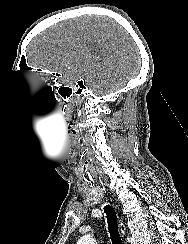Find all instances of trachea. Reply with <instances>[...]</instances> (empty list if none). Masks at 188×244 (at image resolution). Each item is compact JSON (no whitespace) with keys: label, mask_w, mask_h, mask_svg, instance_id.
I'll return each mask as SVG.
<instances>
[{"label":"trachea","mask_w":188,"mask_h":244,"mask_svg":"<svg viewBox=\"0 0 188 244\" xmlns=\"http://www.w3.org/2000/svg\"><path fill=\"white\" fill-rule=\"evenodd\" d=\"M104 212L107 217L108 231L110 234L112 244H122V239L118 231V223H117V216L115 210L111 206L106 205L104 207Z\"/></svg>","instance_id":"1"}]
</instances>
